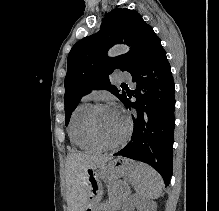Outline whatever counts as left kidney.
I'll use <instances>...</instances> for the list:
<instances>
[{
  "instance_id": "5707ae66",
  "label": "left kidney",
  "mask_w": 219,
  "mask_h": 211,
  "mask_svg": "<svg viewBox=\"0 0 219 211\" xmlns=\"http://www.w3.org/2000/svg\"><path fill=\"white\" fill-rule=\"evenodd\" d=\"M141 201L142 199H138V197H132L133 207H136L137 211H150L148 205H143Z\"/></svg>"
}]
</instances>
